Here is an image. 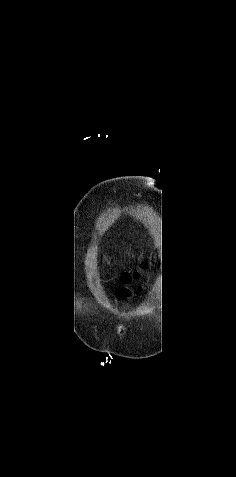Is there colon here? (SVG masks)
I'll return each instance as SVG.
<instances>
[{"label": "colon", "instance_id": "colon-1", "mask_svg": "<svg viewBox=\"0 0 236 477\" xmlns=\"http://www.w3.org/2000/svg\"><path fill=\"white\" fill-rule=\"evenodd\" d=\"M124 280L127 281L131 278L130 274L125 273L123 276ZM128 294V291L126 289H119L118 291V296L119 297H125Z\"/></svg>", "mask_w": 236, "mask_h": 477}]
</instances>
